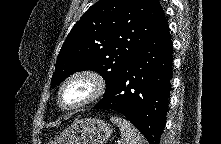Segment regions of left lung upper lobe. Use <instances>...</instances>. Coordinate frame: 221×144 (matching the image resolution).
<instances>
[{
  "label": "left lung upper lobe",
  "instance_id": "left-lung-upper-lobe-1",
  "mask_svg": "<svg viewBox=\"0 0 221 144\" xmlns=\"http://www.w3.org/2000/svg\"><path fill=\"white\" fill-rule=\"evenodd\" d=\"M164 18L159 0H99L73 26L62 45L51 87L75 72L93 70L105 79L106 94Z\"/></svg>",
  "mask_w": 221,
  "mask_h": 144
}]
</instances>
